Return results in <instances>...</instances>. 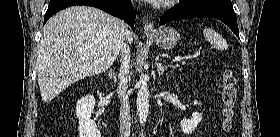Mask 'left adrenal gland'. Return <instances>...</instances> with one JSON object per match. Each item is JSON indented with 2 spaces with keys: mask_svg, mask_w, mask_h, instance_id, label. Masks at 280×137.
Wrapping results in <instances>:
<instances>
[{
  "mask_svg": "<svg viewBox=\"0 0 280 137\" xmlns=\"http://www.w3.org/2000/svg\"><path fill=\"white\" fill-rule=\"evenodd\" d=\"M156 66H157V72H158L159 76L162 75L164 73V71L167 70L169 67H173L174 68L173 65H165V66H163L162 62H161V59L158 60V62L156 63Z\"/></svg>",
  "mask_w": 280,
  "mask_h": 137,
  "instance_id": "obj_1",
  "label": "left adrenal gland"
}]
</instances>
